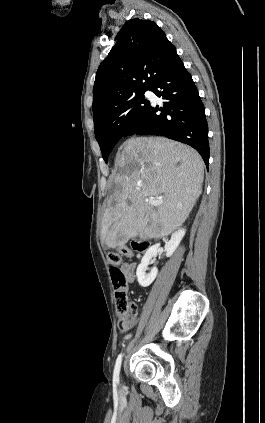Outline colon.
Wrapping results in <instances>:
<instances>
[{
    "label": "colon",
    "instance_id": "colon-1",
    "mask_svg": "<svg viewBox=\"0 0 265 423\" xmlns=\"http://www.w3.org/2000/svg\"><path fill=\"white\" fill-rule=\"evenodd\" d=\"M149 243L146 241H133L131 246H121L116 251H113L108 256V261L111 264V281L115 289V304L116 310L119 314L118 327L120 330H129L133 327L137 319V310L131 304L128 291L126 289V277L122 270L118 267L124 258H129L136 253H144L149 248Z\"/></svg>",
    "mask_w": 265,
    "mask_h": 423
}]
</instances>
